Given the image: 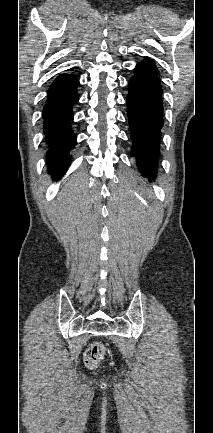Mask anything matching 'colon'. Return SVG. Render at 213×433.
<instances>
[{
  "mask_svg": "<svg viewBox=\"0 0 213 433\" xmlns=\"http://www.w3.org/2000/svg\"><path fill=\"white\" fill-rule=\"evenodd\" d=\"M106 347L103 342H93L84 354V363L86 367L94 369L99 366L105 356Z\"/></svg>",
  "mask_w": 213,
  "mask_h": 433,
  "instance_id": "obj_1",
  "label": "colon"
}]
</instances>
